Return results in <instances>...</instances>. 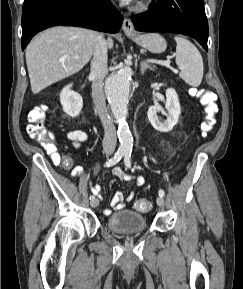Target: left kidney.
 I'll list each match as a JSON object with an SVG mask.
<instances>
[{
  "instance_id": "obj_1",
  "label": "left kidney",
  "mask_w": 243,
  "mask_h": 289,
  "mask_svg": "<svg viewBox=\"0 0 243 289\" xmlns=\"http://www.w3.org/2000/svg\"><path fill=\"white\" fill-rule=\"evenodd\" d=\"M165 108L168 112L167 119L161 122L157 116L158 112H164L159 105L150 106L147 112L148 120L154 129L160 132H169L178 123L181 114L180 103L176 91L172 88L166 90Z\"/></svg>"
}]
</instances>
